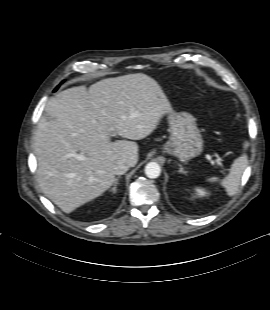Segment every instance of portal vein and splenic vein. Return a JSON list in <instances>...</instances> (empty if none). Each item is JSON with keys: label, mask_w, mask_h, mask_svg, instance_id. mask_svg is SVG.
Here are the masks:
<instances>
[{"label": "portal vein and splenic vein", "mask_w": 270, "mask_h": 310, "mask_svg": "<svg viewBox=\"0 0 270 310\" xmlns=\"http://www.w3.org/2000/svg\"><path fill=\"white\" fill-rule=\"evenodd\" d=\"M75 157L78 159V160H84L85 157L81 154H77L75 155ZM207 158L211 161V164L214 165L215 163H218L220 164L219 160H213L210 156H207Z\"/></svg>", "instance_id": "obj_1"}]
</instances>
